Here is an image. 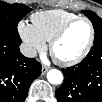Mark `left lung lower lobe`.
<instances>
[{
    "mask_svg": "<svg viewBox=\"0 0 102 102\" xmlns=\"http://www.w3.org/2000/svg\"><path fill=\"white\" fill-rule=\"evenodd\" d=\"M62 71L58 102H102V41L94 43L82 62Z\"/></svg>",
    "mask_w": 102,
    "mask_h": 102,
    "instance_id": "obj_1",
    "label": "left lung lower lobe"
}]
</instances>
